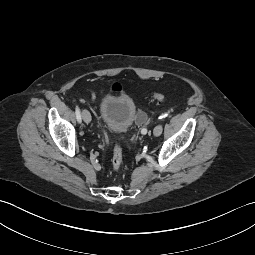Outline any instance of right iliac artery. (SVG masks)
I'll return each instance as SVG.
<instances>
[{
	"mask_svg": "<svg viewBox=\"0 0 255 255\" xmlns=\"http://www.w3.org/2000/svg\"><path fill=\"white\" fill-rule=\"evenodd\" d=\"M75 113H76L77 121H78L79 123H81V112H80V109H79L78 107H76Z\"/></svg>",
	"mask_w": 255,
	"mask_h": 255,
	"instance_id": "right-iliac-artery-1",
	"label": "right iliac artery"
}]
</instances>
